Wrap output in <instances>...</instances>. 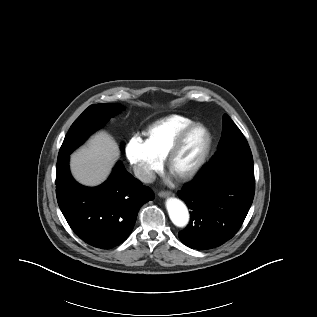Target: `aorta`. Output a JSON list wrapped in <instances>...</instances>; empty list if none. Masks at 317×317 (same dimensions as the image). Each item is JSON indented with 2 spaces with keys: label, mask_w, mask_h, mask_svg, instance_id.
Listing matches in <instances>:
<instances>
[{
  "label": "aorta",
  "mask_w": 317,
  "mask_h": 317,
  "mask_svg": "<svg viewBox=\"0 0 317 317\" xmlns=\"http://www.w3.org/2000/svg\"><path fill=\"white\" fill-rule=\"evenodd\" d=\"M166 208L172 223L179 227L184 228L189 222V212L186 205L179 199L169 198L166 201Z\"/></svg>",
  "instance_id": "1"
}]
</instances>
